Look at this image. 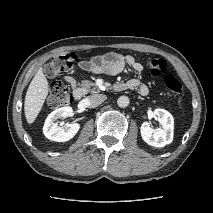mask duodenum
I'll list each match as a JSON object with an SVG mask.
<instances>
[{"mask_svg": "<svg viewBox=\"0 0 213 213\" xmlns=\"http://www.w3.org/2000/svg\"><path fill=\"white\" fill-rule=\"evenodd\" d=\"M127 86L125 84L116 85L117 90H125ZM73 96L76 100H81L83 97V92L80 89H74Z\"/></svg>", "mask_w": 213, "mask_h": 213, "instance_id": "1", "label": "duodenum"}]
</instances>
